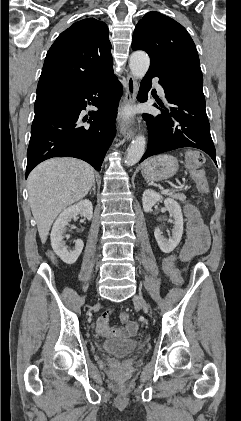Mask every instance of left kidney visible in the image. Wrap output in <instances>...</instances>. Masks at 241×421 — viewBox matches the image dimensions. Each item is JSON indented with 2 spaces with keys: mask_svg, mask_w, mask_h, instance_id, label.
<instances>
[{
  "mask_svg": "<svg viewBox=\"0 0 241 421\" xmlns=\"http://www.w3.org/2000/svg\"><path fill=\"white\" fill-rule=\"evenodd\" d=\"M164 200L165 207L169 214L174 218V227L172 229V237L166 239L159 228H155L154 236L164 253L172 252L179 244L183 234V216L180 205L171 198L163 199V197L154 190H145L142 196V204L145 212H151L152 207L159 201Z\"/></svg>",
  "mask_w": 241,
  "mask_h": 421,
  "instance_id": "left-kidney-1",
  "label": "left kidney"
}]
</instances>
